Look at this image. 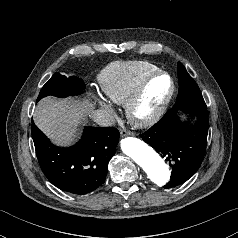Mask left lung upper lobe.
<instances>
[{"label":"left lung upper lobe","instance_id":"left-lung-upper-lobe-1","mask_svg":"<svg viewBox=\"0 0 238 238\" xmlns=\"http://www.w3.org/2000/svg\"><path fill=\"white\" fill-rule=\"evenodd\" d=\"M178 81L179 93L171 111L207 109L198 85L181 62H178Z\"/></svg>","mask_w":238,"mask_h":238}]
</instances>
